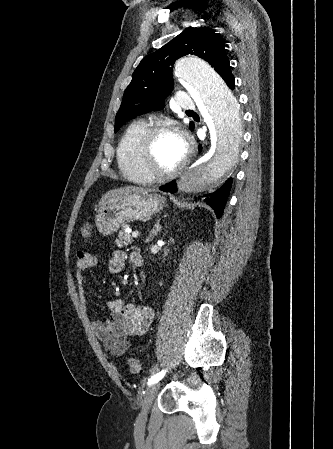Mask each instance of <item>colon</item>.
<instances>
[{
	"instance_id": "obj_1",
	"label": "colon",
	"mask_w": 333,
	"mask_h": 449,
	"mask_svg": "<svg viewBox=\"0 0 333 449\" xmlns=\"http://www.w3.org/2000/svg\"><path fill=\"white\" fill-rule=\"evenodd\" d=\"M80 233H81V237L83 239L89 238L92 233L91 225L87 223L84 226H82ZM128 367H129L130 372L134 373V374H137L141 371L140 362L134 358H132L128 361Z\"/></svg>"
}]
</instances>
